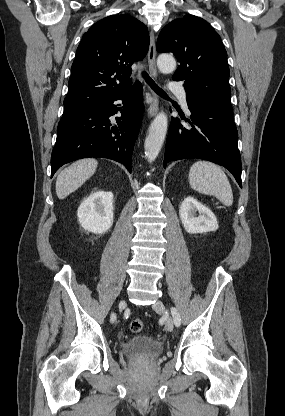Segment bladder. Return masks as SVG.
I'll list each match as a JSON object with an SVG mask.
<instances>
[{"label": "bladder", "mask_w": 285, "mask_h": 416, "mask_svg": "<svg viewBox=\"0 0 285 416\" xmlns=\"http://www.w3.org/2000/svg\"><path fill=\"white\" fill-rule=\"evenodd\" d=\"M121 349L125 357L145 355L150 357H159L164 349L163 342L153 336L144 334H134L126 339Z\"/></svg>", "instance_id": "31cf9c89"}]
</instances>
